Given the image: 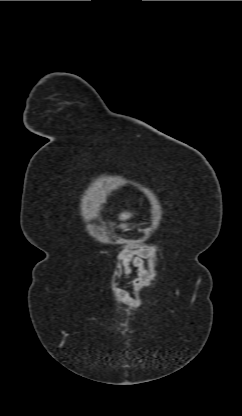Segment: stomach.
<instances>
[{"mask_svg": "<svg viewBox=\"0 0 242 416\" xmlns=\"http://www.w3.org/2000/svg\"><path fill=\"white\" fill-rule=\"evenodd\" d=\"M121 228L124 229V230H127L128 225H121Z\"/></svg>", "mask_w": 242, "mask_h": 416, "instance_id": "stomach-1", "label": "stomach"}]
</instances>
